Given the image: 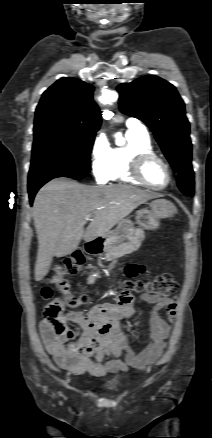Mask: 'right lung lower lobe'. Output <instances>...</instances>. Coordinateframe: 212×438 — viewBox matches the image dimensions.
I'll return each mask as SVG.
<instances>
[{"label":"right lung lower lobe","instance_id":"right-lung-lower-lobe-1","mask_svg":"<svg viewBox=\"0 0 212 438\" xmlns=\"http://www.w3.org/2000/svg\"><path fill=\"white\" fill-rule=\"evenodd\" d=\"M88 173H69V172H44L28 177V192L30 204L33 203L34 196L41 186L53 178L69 177V178H83L88 176Z\"/></svg>","mask_w":212,"mask_h":438}]
</instances>
